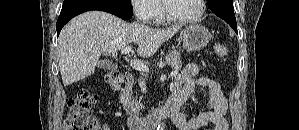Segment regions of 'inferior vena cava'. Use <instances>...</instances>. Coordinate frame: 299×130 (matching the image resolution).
<instances>
[{
  "label": "inferior vena cava",
  "mask_w": 299,
  "mask_h": 130,
  "mask_svg": "<svg viewBox=\"0 0 299 130\" xmlns=\"http://www.w3.org/2000/svg\"><path fill=\"white\" fill-rule=\"evenodd\" d=\"M139 86L141 88V91L144 93L146 92V84H145V80L144 79H140L139 80Z\"/></svg>",
  "instance_id": "obj_1"
}]
</instances>
